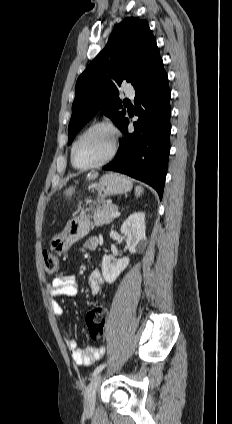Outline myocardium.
<instances>
[{"instance_id":"1","label":"myocardium","mask_w":232,"mask_h":424,"mask_svg":"<svg viewBox=\"0 0 232 424\" xmlns=\"http://www.w3.org/2000/svg\"><path fill=\"white\" fill-rule=\"evenodd\" d=\"M95 129H104V130L108 131L111 134V139H112L111 140L112 141L111 142L112 143L111 144V149H110L109 153L103 159H101L100 161H98L96 163H93V164H90V165H87V166H80V165H78L76 163V160H75V150H76V147H77L78 143L80 142V140L86 134H88L89 132H91L92 130H95ZM118 147H119V133H118L117 128L113 124H111L109 122L99 121V122H96V123L90 125L89 127H87L76 138V140L74 141V143L72 145V148H71V161H72L73 166L75 168L79 169V170H90V169H94V168L103 166L106 163L110 162L115 157V155H116V153L118 151Z\"/></svg>"}]
</instances>
